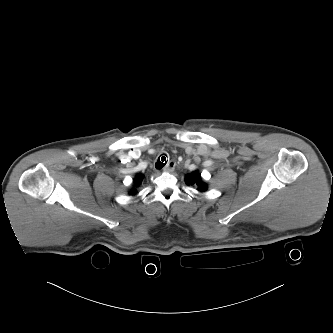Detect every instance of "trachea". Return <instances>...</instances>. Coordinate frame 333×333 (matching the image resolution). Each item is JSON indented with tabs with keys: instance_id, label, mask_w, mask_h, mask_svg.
Masks as SVG:
<instances>
[{
	"instance_id": "trachea-1",
	"label": "trachea",
	"mask_w": 333,
	"mask_h": 333,
	"mask_svg": "<svg viewBox=\"0 0 333 333\" xmlns=\"http://www.w3.org/2000/svg\"><path fill=\"white\" fill-rule=\"evenodd\" d=\"M164 155L167 157L166 154H164ZM165 156L162 155L161 159H160V157L158 158L157 162L155 163L156 169H162L165 166V164L167 163Z\"/></svg>"
}]
</instances>
